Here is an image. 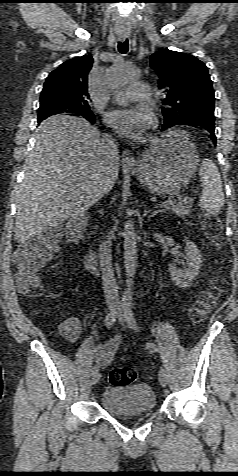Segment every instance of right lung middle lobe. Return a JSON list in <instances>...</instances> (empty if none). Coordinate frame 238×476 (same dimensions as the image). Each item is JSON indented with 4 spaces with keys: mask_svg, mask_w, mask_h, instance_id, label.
I'll return each instance as SVG.
<instances>
[{
    "mask_svg": "<svg viewBox=\"0 0 238 476\" xmlns=\"http://www.w3.org/2000/svg\"><path fill=\"white\" fill-rule=\"evenodd\" d=\"M56 114L81 116L90 122L95 119L94 114L90 111V106L68 107L51 101L40 102L38 121Z\"/></svg>",
    "mask_w": 238,
    "mask_h": 476,
    "instance_id": "right-lung-middle-lobe-1",
    "label": "right lung middle lobe"
}]
</instances>
